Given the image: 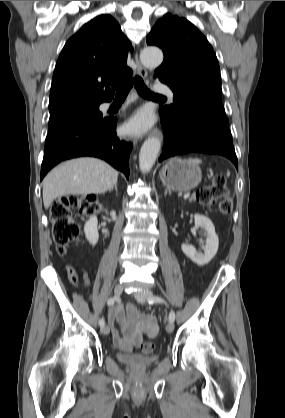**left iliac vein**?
I'll return each mask as SVG.
<instances>
[{
    "label": "left iliac vein",
    "instance_id": "obj_1",
    "mask_svg": "<svg viewBox=\"0 0 285 418\" xmlns=\"http://www.w3.org/2000/svg\"><path fill=\"white\" fill-rule=\"evenodd\" d=\"M134 296H135L137 301L146 302L149 298L153 297V294L150 291H142V292L134 293ZM173 330H174V324H173V322H169L166 325V331L168 333H171V332H173Z\"/></svg>",
    "mask_w": 285,
    "mask_h": 418
}]
</instances>
